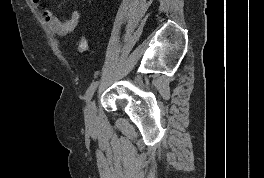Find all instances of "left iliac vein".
<instances>
[{
	"label": "left iliac vein",
	"instance_id": "1",
	"mask_svg": "<svg viewBox=\"0 0 264 178\" xmlns=\"http://www.w3.org/2000/svg\"><path fill=\"white\" fill-rule=\"evenodd\" d=\"M85 120L88 125H91L96 120V106L94 100H89L85 109Z\"/></svg>",
	"mask_w": 264,
	"mask_h": 178
}]
</instances>
